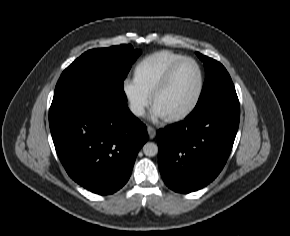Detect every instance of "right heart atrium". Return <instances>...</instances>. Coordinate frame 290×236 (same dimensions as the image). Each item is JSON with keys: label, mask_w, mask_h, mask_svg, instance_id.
Listing matches in <instances>:
<instances>
[{"label": "right heart atrium", "mask_w": 290, "mask_h": 236, "mask_svg": "<svg viewBox=\"0 0 290 236\" xmlns=\"http://www.w3.org/2000/svg\"><path fill=\"white\" fill-rule=\"evenodd\" d=\"M125 95L129 107L135 115H142L147 106V94L144 93L135 83L127 81L124 85Z\"/></svg>", "instance_id": "right-heart-atrium-1"}]
</instances>
